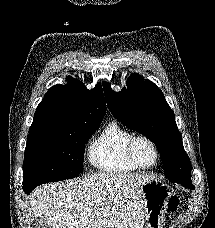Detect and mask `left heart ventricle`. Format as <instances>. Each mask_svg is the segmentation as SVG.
I'll return each instance as SVG.
<instances>
[{
	"instance_id": "1",
	"label": "left heart ventricle",
	"mask_w": 215,
	"mask_h": 228,
	"mask_svg": "<svg viewBox=\"0 0 215 228\" xmlns=\"http://www.w3.org/2000/svg\"><path fill=\"white\" fill-rule=\"evenodd\" d=\"M137 162L144 167L151 166L155 161V154L146 142H139L135 148Z\"/></svg>"
}]
</instances>
